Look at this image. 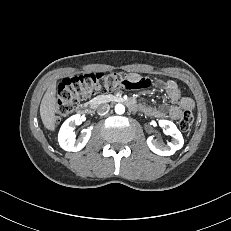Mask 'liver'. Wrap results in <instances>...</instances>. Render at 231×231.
Returning <instances> with one entry per match:
<instances>
[{
  "label": "liver",
  "instance_id": "liver-1",
  "mask_svg": "<svg viewBox=\"0 0 231 231\" xmlns=\"http://www.w3.org/2000/svg\"><path fill=\"white\" fill-rule=\"evenodd\" d=\"M56 81L45 92L40 104V116L43 125L49 131H55L56 123Z\"/></svg>",
  "mask_w": 231,
  "mask_h": 231
}]
</instances>
